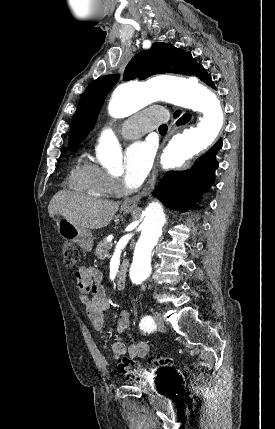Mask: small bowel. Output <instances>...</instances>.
<instances>
[{"instance_id": "small-bowel-1", "label": "small bowel", "mask_w": 275, "mask_h": 429, "mask_svg": "<svg viewBox=\"0 0 275 429\" xmlns=\"http://www.w3.org/2000/svg\"><path fill=\"white\" fill-rule=\"evenodd\" d=\"M75 278L80 301L85 308L92 327L96 331L103 330L110 304L101 285V272L93 266L84 265L75 272ZM129 325L130 313L128 310H123L118 316V332L124 334ZM112 352L114 359L122 356L130 360L142 359L148 355L149 346L145 342H137L127 346L122 341H115L112 344Z\"/></svg>"}]
</instances>
